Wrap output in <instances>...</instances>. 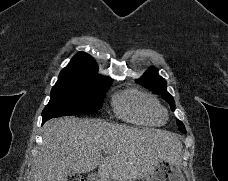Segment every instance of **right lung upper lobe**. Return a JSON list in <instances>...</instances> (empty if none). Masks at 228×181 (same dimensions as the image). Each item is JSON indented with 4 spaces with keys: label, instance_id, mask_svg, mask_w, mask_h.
<instances>
[{
    "label": "right lung upper lobe",
    "instance_id": "cb5924a9",
    "mask_svg": "<svg viewBox=\"0 0 228 181\" xmlns=\"http://www.w3.org/2000/svg\"><path fill=\"white\" fill-rule=\"evenodd\" d=\"M99 81H112V79L99 75L95 60L89 54L80 52L60 72L57 83L83 84Z\"/></svg>",
    "mask_w": 228,
    "mask_h": 181
}]
</instances>
